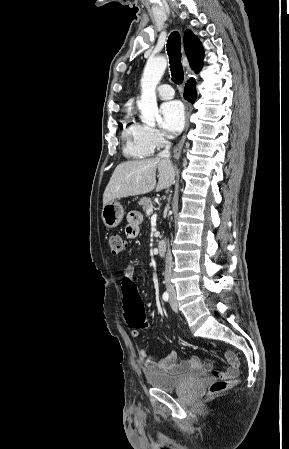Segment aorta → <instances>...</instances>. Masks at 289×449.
<instances>
[{"label": "aorta", "mask_w": 289, "mask_h": 449, "mask_svg": "<svg viewBox=\"0 0 289 449\" xmlns=\"http://www.w3.org/2000/svg\"><path fill=\"white\" fill-rule=\"evenodd\" d=\"M166 67L165 57L149 58L141 78V97L138 108L141 111V121L149 126H154L158 117L156 87Z\"/></svg>", "instance_id": "1"}]
</instances>
